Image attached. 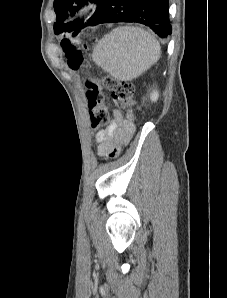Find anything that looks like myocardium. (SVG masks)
I'll list each match as a JSON object with an SVG mask.
<instances>
[{
  "instance_id": "myocardium-1",
  "label": "myocardium",
  "mask_w": 227,
  "mask_h": 298,
  "mask_svg": "<svg viewBox=\"0 0 227 298\" xmlns=\"http://www.w3.org/2000/svg\"><path fill=\"white\" fill-rule=\"evenodd\" d=\"M90 11V5L88 3H80L76 6L75 15L76 16H84L88 14Z\"/></svg>"
}]
</instances>
